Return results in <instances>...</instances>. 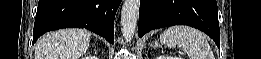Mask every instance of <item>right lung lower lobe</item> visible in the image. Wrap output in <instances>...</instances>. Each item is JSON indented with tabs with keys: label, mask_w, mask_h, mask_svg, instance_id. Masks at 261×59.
<instances>
[{
	"label": "right lung lower lobe",
	"mask_w": 261,
	"mask_h": 59,
	"mask_svg": "<svg viewBox=\"0 0 261 59\" xmlns=\"http://www.w3.org/2000/svg\"><path fill=\"white\" fill-rule=\"evenodd\" d=\"M121 0H39L33 42L61 28H86L114 43V18Z\"/></svg>",
	"instance_id": "1"
}]
</instances>
